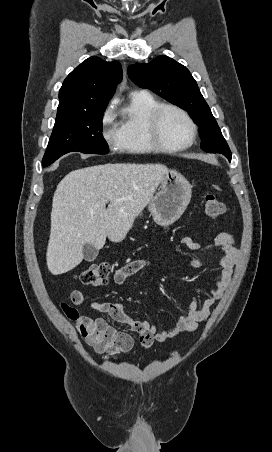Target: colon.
Wrapping results in <instances>:
<instances>
[{"label":"colon","mask_w":272,"mask_h":452,"mask_svg":"<svg viewBox=\"0 0 272 452\" xmlns=\"http://www.w3.org/2000/svg\"><path fill=\"white\" fill-rule=\"evenodd\" d=\"M204 213L209 219H217L225 213V205L216 196L206 195L203 201ZM112 267L108 262H98L89 265L86 269L80 272L76 278L86 285L103 286L106 285L111 273ZM62 307V306H61ZM68 310V306H63ZM103 347L107 352L116 353L113 343L106 339Z\"/></svg>","instance_id":"obj_1"}]
</instances>
